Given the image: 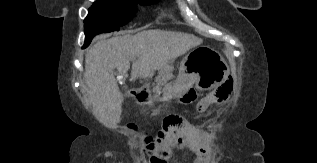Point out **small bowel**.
Instances as JSON below:
<instances>
[{"label":"small bowel","instance_id":"1","mask_svg":"<svg viewBox=\"0 0 317 163\" xmlns=\"http://www.w3.org/2000/svg\"><path fill=\"white\" fill-rule=\"evenodd\" d=\"M160 149L151 163H170L176 160V151L188 149L194 154L192 163H209V153L202 147L194 128L176 116L165 118L157 133Z\"/></svg>","mask_w":317,"mask_h":163}]
</instances>
